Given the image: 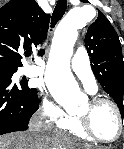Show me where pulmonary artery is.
Listing matches in <instances>:
<instances>
[{
  "mask_svg": "<svg viewBox=\"0 0 124 149\" xmlns=\"http://www.w3.org/2000/svg\"><path fill=\"white\" fill-rule=\"evenodd\" d=\"M72 70L84 84L85 89L90 94L98 91L96 78L92 72L89 57L85 49L79 48L72 61ZM41 73V69H28L25 71L27 76H36Z\"/></svg>",
  "mask_w": 124,
  "mask_h": 149,
  "instance_id": "e3ab8cb5",
  "label": "pulmonary artery"
}]
</instances>
